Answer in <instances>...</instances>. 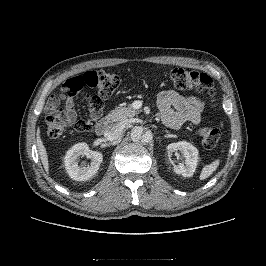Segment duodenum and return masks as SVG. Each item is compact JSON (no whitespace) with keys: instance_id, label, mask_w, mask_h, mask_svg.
Listing matches in <instances>:
<instances>
[{"instance_id":"duodenum-1","label":"duodenum","mask_w":266,"mask_h":266,"mask_svg":"<svg viewBox=\"0 0 266 266\" xmlns=\"http://www.w3.org/2000/svg\"><path fill=\"white\" fill-rule=\"evenodd\" d=\"M109 126V120L108 119H101L99 121H97L94 125V131L97 135H103Z\"/></svg>"}]
</instances>
